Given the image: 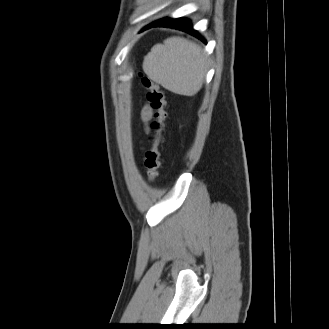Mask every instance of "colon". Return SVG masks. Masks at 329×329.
<instances>
[{"label":"colon","mask_w":329,"mask_h":329,"mask_svg":"<svg viewBox=\"0 0 329 329\" xmlns=\"http://www.w3.org/2000/svg\"><path fill=\"white\" fill-rule=\"evenodd\" d=\"M142 87L147 91V100L153 112V120L150 124V147L145 152L144 167L151 183H154L159 175L160 147L164 142L165 131V97L159 85L144 74H140Z\"/></svg>","instance_id":"colon-1"}]
</instances>
